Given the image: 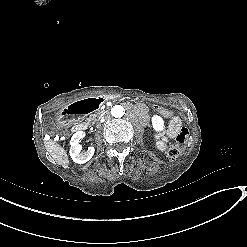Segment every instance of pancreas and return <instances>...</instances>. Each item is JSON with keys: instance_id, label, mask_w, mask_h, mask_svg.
Returning a JSON list of instances; mask_svg holds the SVG:
<instances>
[{"instance_id": "obj_1", "label": "pancreas", "mask_w": 247, "mask_h": 247, "mask_svg": "<svg viewBox=\"0 0 247 247\" xmlns=\"http://www.w3.org/2000/svg\"><path fill=\"white\" fill-rule=\"evenodd\" d=\"M99 116V113H94V114H91L88 118L89 121H91L92 124L95 123V121L97 120V117Z\"/></svg>"}]
</instances>
